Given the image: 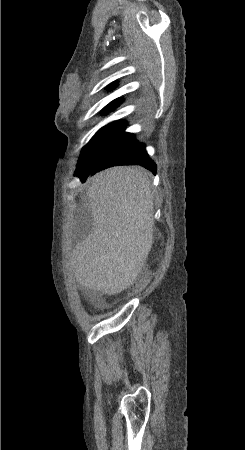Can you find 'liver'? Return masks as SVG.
<instances>
[{
    "label": "liver",
    "mask_w": 245,
    "mask_h": 450,
    "mask_svg": "<svg viewBox=\"0 0 245 450\" xmlns=\"http://www.w3.org/2000/svg\"><path fill=\"white\" fill-rule=\"evenodd\" d=\"M87 197L93 229L72 267L80 285L114 295L134 282L153 244L151 181L140 168L112 167L91 178Z\"/></svg>",
    "instance_id": "6515ba94"
}]
</instances>
